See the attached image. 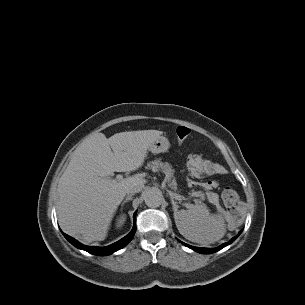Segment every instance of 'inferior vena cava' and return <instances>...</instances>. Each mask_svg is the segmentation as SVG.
<instances>
[{"instance_id":"obj_1","label":"inferior vena cava","mask_w":305,"mask_h":305,"mask_svg":"<svg viewBox=\"0 0 305 305\" xmlns=\"http://www.w3.org/2000/svg\"><path fill=\"white\" fill-rule=\"evenodd\" d=\"M144 185L142 184H138V185H133V186H130L126 193L127 194H134V193H138L140 192L142 189H143Z\"/></svg>"}]
</instances>
